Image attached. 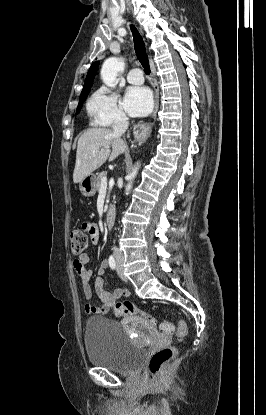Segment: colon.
Masks as SVG:
<instances>
[{
  "mask_svg": "<svg viewBox=\"0 0 266 415\" xmlns=\"http://www.w3.org/2000/svg\"><path fill=\"white\" fill-rule=\"evenodd\" d=\"M71 252L75 255L81 254L88 247V236L84 229H73L69 236ZM117 316L139 315L145 322L154 326L160 333L165 335L174 334L178 341H182L188 334L187 325L184 321H179L175 326L167 320H158L154 316L140 310L133 302L125 300L117 302L114 306ZM177 349L175 346H167L153 353L149 360V371L152 375L162 374L175 357Z\"/></svg>",
  "mask_w": 266,
  "mask_h": 415,
  "instance_id": "5ec220e1",
  "label": "colon"
}]
</instances>
